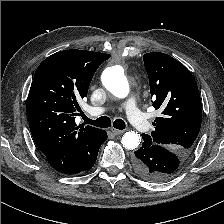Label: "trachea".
Here are the masks:
<instances>
[{"label":"trachea","mask_w":224,"mask_h":224,"mask_svg":"<svg viewBox=\"0 0 224 224\" xmlns=\"http://www.w3.org/2000/svg\"><path fill=\"white\" fill-rule=\"evenodd\" d=\"M82 117L84 119L85 124H91V125H94V126L100 127V128H107V127L111 126V120L107 116H102L96 120H91L88 117H86L85 115H83ZM113 126L116 129L123 130V129H125L126 124L122 119H116L113 122Z\"/></svg>","instance_id":"obj_1"}]
</instances>
